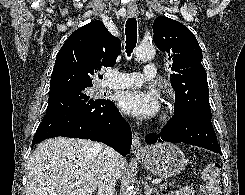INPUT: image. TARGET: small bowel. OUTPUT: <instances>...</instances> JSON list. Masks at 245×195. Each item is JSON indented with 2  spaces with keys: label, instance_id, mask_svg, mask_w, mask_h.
<instances>
[{
  "label": "small bowel",
  "instance_id": "small-bowel-1",
  "mask_svg": "<svg viewBox=\"0 0 245 195\" xmlns=\"http://www.w3.org/2000/svg\"><path fill=\"white\" fill-rule=\"evenodd\" d=\"M168 195H201L200 191L192 186L183 187Z\"/></svg>",
  "mask_w": 245,
  "mask_h": 195
}]
</instances>
